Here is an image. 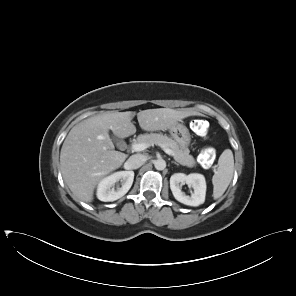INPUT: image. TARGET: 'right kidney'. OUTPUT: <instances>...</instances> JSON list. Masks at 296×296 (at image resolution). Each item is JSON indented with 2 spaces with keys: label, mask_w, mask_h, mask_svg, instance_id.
<instances>
[{
  "label": "right kidney",
  "mask_w": 296,
  "mask_h": 296,
  "mask_svg": "<svg viewBox=\"0 0 296 296\" xmlns=\"http://www.w3.org/2000/svg\"><path fill=\"white\" fill-rule=\"evenodd\" d=\"M122 181L120 188L114 189V184ZM134 180L133 171H118L103 178L97 186V198L103 202H112L123 197L131 188Z\"/></svg>",
  "instance_id": "right-kidney-1"
}]
</instances>
